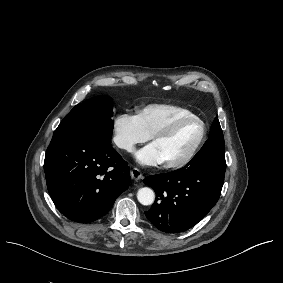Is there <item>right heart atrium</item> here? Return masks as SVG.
<instances>
[{
	"label": "right heart atrium",
	"mask_w": 283,
	"mask_h": 283,
	"mask_svg": "<svg viewBox=\"0 0 283 283\" xmlns=\"http://www.w3.org/2000/svg\"><path fill=\"white\" fill-rule=\"evenodd\" d=\"M150 137L139 115L121 112L113 116L111 140L118 149L131 152L136 144L145 142Z\"/></svg>",
	"instance_id": "1"
}]
</instances>
